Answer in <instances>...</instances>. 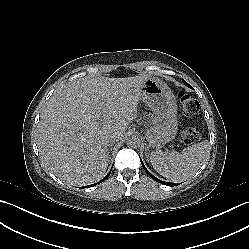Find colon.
<instances>
[{"instance_id": "colon-1", "label": "colon", "mask_w": 249, "mask_h": 249, "mask_svg": "<svg viewBox=\"0 0 249 249\" xmlns=\"http://www.w3.org/2000/svg\"><path fill=\"white\" fill-rule=\"evenodd\" d=\"M178 99L185 117L192 119L198 114L200 105L190 94L185 91H180L178 93ZM183 138L188 143L196 142L199 138V133L195 129L188 127L183 132Z\"/></svg>"}]
</instances>
